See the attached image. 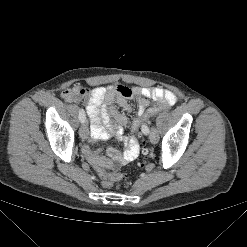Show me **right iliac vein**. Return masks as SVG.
<instances>
[{
    "label": "right iliac vein",
    "mask_w": 247,
    "mask_h": 247,
    "mask_svg": "<svg viewBox=\"0 0 247 247\" xmlns=\"http://www.w3.org/2000/svg\"><path fill=\"white\" fill-rule=\"evenodd\" d=\"M79 135L82 139H87L88 135H89V129H88V125L86 122H83L80 129H79Z\"/></svg>",
    "instance_id": "right-iliac-vein-1"
}]
</instances>
